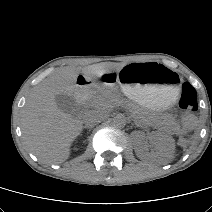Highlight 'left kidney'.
I'll list each match as a JSON object with an SVG mask.
<instances>
[{"instance_id":"1","label":"left kidney","mask_w":212,"mask_h":212,"mask_svg":"<svg viewBox=\"0 0 212 212\" xmlns=\"http://www.w3.org/2000/svg\"><path fill=\"white\" fill-rule=\"evenodd\" d=\"M133 136L137 141L135 148L137 156L141 159L148 157L149 153L143 145L145 139L144 133L141 131H135L133 132ZM149 140L156 145L155 156L158 157L160 161L168 162L172 159L175 151V142L171 136L162 132L154 131L150 134Z\"/></svg>"}]
</instances>
